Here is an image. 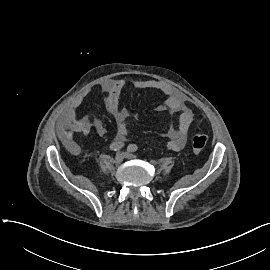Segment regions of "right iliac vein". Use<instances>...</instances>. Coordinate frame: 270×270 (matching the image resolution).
<instances>
[{"instance_id":"63e3f726","label":"right iliac vein","mask_w":270,"mask_h":270,"mask_svg":"<svg viewBox=\"0 0 270 270\" xmlns=\"http://www.w3.org/2000/svg\"><path fill=\"white\" fill-rule=\"evenodd\" d=\"M123 159H124V153H117L115 158H114V163L117 165L121 164Z\"/></svg>"}]
</instances>
